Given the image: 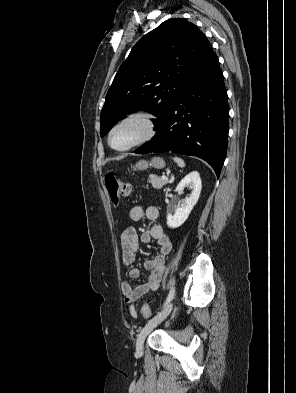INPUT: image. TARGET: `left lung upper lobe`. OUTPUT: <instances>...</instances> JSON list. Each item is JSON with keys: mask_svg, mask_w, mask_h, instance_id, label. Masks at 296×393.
<instances>
[{"mask_svg": "<svg viewBox=\"0 0 296 393\" xmlns=\"http://www.w3.org/2000/svg\"><path fill=\"white\" fill-rule=\"evenodd\" d=\"M192 23L173 18L146 34L120 66L101 111V137L123 116L145 110L157 130L185 86L213 53Z\"/></svg>", "mask_w": 296, "mask_h": 393, "instance_id": "1", "label": "left lung upper lobe"}]
</instances>
